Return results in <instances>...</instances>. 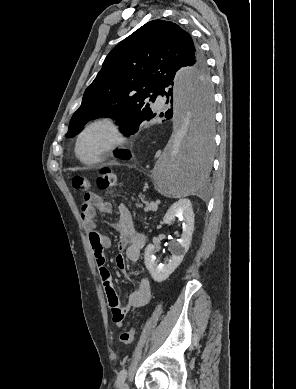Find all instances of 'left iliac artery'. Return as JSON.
Listing matches in <instances>:
<instances>
[{
    "label": "left iliac artery",
    "instance_id": "44dca946",
    "mask_svg": "<svg viewBox=\"0 0 296 389\" xmlns=\"http://www.w3.org/2000/svg\"><path fill=\"white\" fill-rule=\"evenodd\" d=\"M126 377H127V370L122 369L118 374V378H117L118 383L124 382Z\"/></svg>",
    "mask_w": 296,
    "mask_h": 389
}]
</instances>
